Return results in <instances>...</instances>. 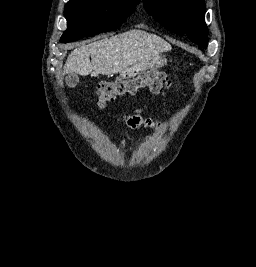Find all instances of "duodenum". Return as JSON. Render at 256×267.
<instances>
[{
    "mask_svg": "<svg viewBox=\"0 0 256 267\" xmlns=\"http://www.w3.org/2000/svg\"><path fill=\"white\" fill-rule=\"evenodd\" d=\"M153 71V66H125V70L122 71V79H134L136 73H150Z\"/></svg>",
    "mask_w": 256,
    "mask_h": 267,
    "instance_id": "410a0bca",
    "label": "duodenum"
}]
</instances>
